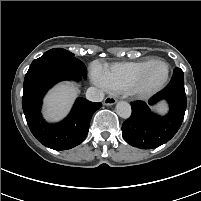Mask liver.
Returning a JSON list of instances; mask_svg holds the SVG:
<instances>
[{
  "label": "liver",
  "instance_id": "liver-1",
  "mask_svg": "<svg viewBox=\"0 0 201 201\" xmlns=\"http://www.w3.org/2000/svg\"><path fill=\"white\" fill-rule=\"evenodd\" d=\"M79 91L71 83H62L53 88L45 98L44 114L48 120H58L70 109Z\"/></svg>",
  "mask_w": 201,
  "mask_h": 201
}]
</instances>
